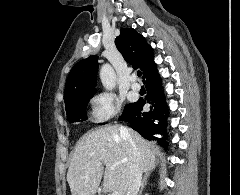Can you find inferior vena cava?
Returning <instances> with one entry per match:
<instances>
[{"label":"inferior vena cava","instance_id":"obj_1","mask_svg":"<svg viewBox=\"0 0 240 195\" xmlns=\"http://www.w3.org/2000/svg\"><path fill=\"white\" fill-rule=\"evenodd\" d=\"M122 137H126L127 147H129V167L128 189L126 195H138L139 187L142 183V167L139 159L138 147L135 145L130 133L125 127H121Z\"/></svg>","mask_w":240,"mask_h":195}]
</instances>
